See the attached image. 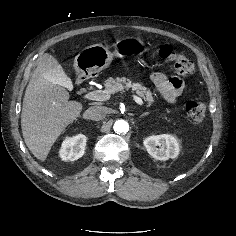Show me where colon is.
I'll use <instances>...</instances> for the list:
<instances>
[{"label": "colon", "instance_id": "1", "mask_svg": "<svg viewBox=\"0 0 236 236\" xmlns=\"http://www.w3.org/2000/svg\"><path fill=\"white\" fill-rule=\"evenodd\" d=\"M158 56L172 63L174 70L179 75H190L195 70L193 61L184 55L176 53L169 45H163L157 50ZM185 110L191 120L196 124H203L206 121V108L200 101H189Z\"/></svg>", "mask_w": 236, "mask_h": 236}]
</instances>
